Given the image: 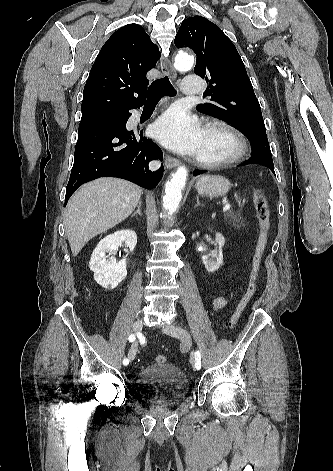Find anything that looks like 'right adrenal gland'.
<instances>
[{"label": "right adrenal gland", "instance_id": "1", "mask_svg": "<svg viewBox=\"0 0 333 471\" xmlns=\"http://www.w3.org/2000/svg\"><path fill=\"white\" fill-rule=\"evenodd\" d=\"M141 204H142V201L140 200L139 203H138V206H137V210L132 214V217H134L136 214H139L140 216H142V213H141Z\"/></svg>", "mask_w": 333, "mask_h": 471}]
</instances>
